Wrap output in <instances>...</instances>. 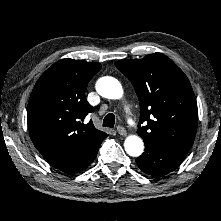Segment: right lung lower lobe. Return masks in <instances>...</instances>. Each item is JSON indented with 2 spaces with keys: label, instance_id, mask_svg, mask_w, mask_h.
<instances>
[{
  "label": "right lung lower lobe",
  "instance_id": "right-lung-lower-lobe-1",
  "mask_svg": "<svg viewBox=\"0 0 221 221\" xmlns=\"http://www.w3.org/2000/svg\"><path fill=\"white\" fill-rule=\"evenodd\" d=\"M102 141L103 139L62 159L49 162L67 174L79 173L94 161Z\"/></svg>",
  "mask_w": 221,
  "mask_h": 221
}]
</instances>
